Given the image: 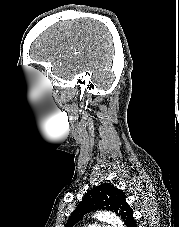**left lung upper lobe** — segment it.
Wrapping results in <instances>:
<instances>
[{"label":"left lung upper lobe","mask_w":179,"mask_h":227,"mask_svg":"<svg viewBox=\"0 0 179 227\" xmlns=\"http://www.w3.org/2000/svg\"><path fill=\"white\" fill-rule=\"evenodd\" d=\"M105 209L115 212L123 220L126 227H135L133 211L126 202L122 190L115 188L110 183L101 184L89 190L83 200L77 205L69 217L65 227H73L85 213L93 210Z\"/></svg>","instance_id":"1"}]
</instances>
